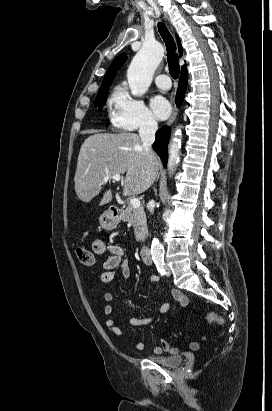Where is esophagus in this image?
<instances>
[{
  "label": "esophagus",
  "mask_w": 272,
  "mask_h": 411,
  "mask_svg": "<svg viewBox=\"0 0 272 411\" xmlns=\"http://www.w3.org/2000/svg\"><path fill=\"white\" fill-rule=\"evenodd\" d=\"M177 113H178V109L175 108L172 115H171V117H170V119L167 122L168 126H170L174 122V120L176 119Z\"/></svg>",
  "instance_id": "34e87169"
}]
</instances>
